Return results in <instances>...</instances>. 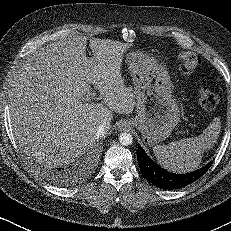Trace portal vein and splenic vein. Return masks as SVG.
<instances>
[{"mask_svg":"<svg viewBox=\"0 0 231 231\" xmlns=\"http://www.w3.org/2000/svg\"><path fill=\"white\" fill-rule=\"evenodd\" d=\"M95 96H96V94L94 92H91L83 100L87 102L91 99H95Z\"/></svg>","mask_w":231,"mask_h":231,"instance_id":"1","label":"portal vein and splenic vein"}]
</instances>
